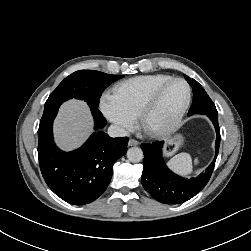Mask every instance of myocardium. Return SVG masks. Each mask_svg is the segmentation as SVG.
Instances as JSON below:
<instances>
[{
  "label": "myocardium",
  "mask_w": 251,
  "mask_h": 251,
  "mask_svg": "<svg viewBox=\"0 0 251 251\" xmlns=\"http://www.w3.org/2000/svg\"><path fill=\"white\" fill-rule=\"evenodd\" d=\"M177 81L182 82L186 86V89H187V98H186V101H185L183 107L178 112V114L165 126L160 127V128H155V129L149 128L147 126V119H148L149 115L151 114V112L154 110L155 106L157 105V102H158L162 92L164 91V89L168 85H170L173 82H177ZM191 99H192V89H191V86L187 80H185L184 78H181V77H172V78L168 79L167 81L160 84L151 93V95L148 97V99L146 100V102L142 106V108L138 114L140 128L147 135H149L151 137H160V136H164V135L170 133L182 121L183 117L185 116L187 110L190 107Z\"/></svg>",
  "instance_id": "myocardium-1"
}]
</instances>
